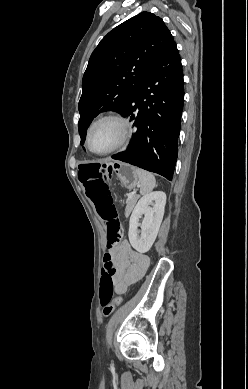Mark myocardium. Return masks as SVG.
I'll return each instance as SVG.
<instances>
[{"instance_id":"obj_1","label":"myocardium","mask_w":248,"mask_h":389,"mask_svg":"<svg viewBox=\"0 0 248 389\" xmlns=\"http://www.w3.org/2000/svg\"><path fill=\"white\" fill-rule=\"evenodd\" d=\"M104 121L115 122L119 126L120 136H119L118 140L109 148L102 150V151H97V150H94L91 146L92 132L98 124H100L101 122H104ZM130 137H131V126H130L128 119L125 118L124 116H122L121 114H118V113H106V114H103V115L97 117L89 125V127L87 129V134H86V145H87V148L89 149V151H91L92 153H94L96 155L104 156V155H108V154L120 149L124 145H126L129 141Z\"/></svg>"}]
</instances>
